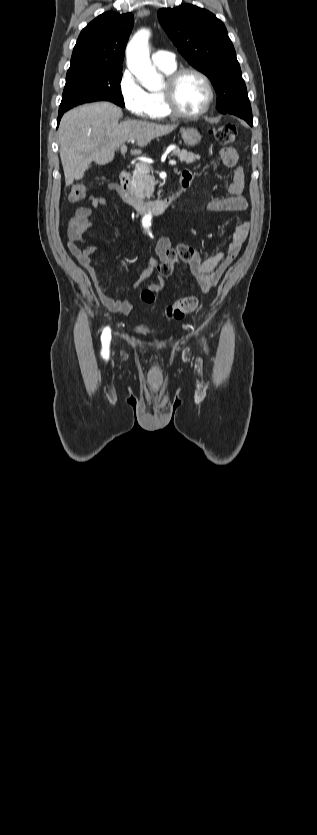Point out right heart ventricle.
I'll list each match as a JSON object with an SVG mask.
<instances>
[{
  "label": "right heart ventricle",
  "mask_w": 317,
  "mask_h": 835,
  "mask_svg": "<svg viewBox=\"0 0 317 835\" xmlns=\"http://www.w3.org/2000/svg\"><path fill=\"white\" fill-rule=\"evenodd\" d=\"M159 69L168 76L176 70V65L172 67H159ZM148 94L152 106V118L162 119L171 115L162 90L150 91Z\"/></svg>",
  "instance_id": "obj_1"
}]
</instances>
